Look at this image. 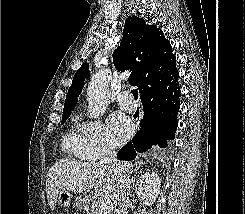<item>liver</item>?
I'll list each match as a JSON object with an SVG mask.
<instances>
[{
    "label": "liver",
    "instance_id": "6515ba94",
    "mask_svg": "<svg viewBox=\"0 0 245 214\" xmlns=\"http://www.w3.org/2000/svg\"><path fill=\"white\" fill-rule=\"evenodd\" d=\"M129 173L136 166L127 164ZM116 175L97 163H85L69 159H59L48 171L46 178V194L49 207L54 210L61 190L74 193H88L94 188L97 196L113 199Z\"/></svg>",
    "mask_w": 245,
    "mask_h": 214
}]
</instances>
